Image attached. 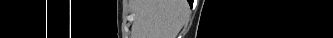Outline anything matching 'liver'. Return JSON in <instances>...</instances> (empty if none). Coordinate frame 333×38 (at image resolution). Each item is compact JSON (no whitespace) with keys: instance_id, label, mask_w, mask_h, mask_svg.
I'll use <instances>...</instances> for the list:
<instances>
[{"instance_id":"liver-1","label":"liver","mask_w":333,"mask_h":38,"mask_svg":"<svg viewBox=\"0 0 333 38\" xmlns=\"http://www.w3.org/2000/svg\"><path fill=\"white\" fill-rule=\"evenodd\" d=\"M189 16L186 0H138L137 38H176Z\"/></svg>"}]
</instances>
